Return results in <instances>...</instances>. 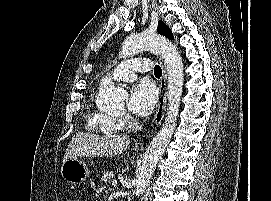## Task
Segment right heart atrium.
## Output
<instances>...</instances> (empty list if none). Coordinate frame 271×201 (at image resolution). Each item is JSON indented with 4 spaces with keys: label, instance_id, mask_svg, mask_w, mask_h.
<instances>
[{
    "label": "right heart atrium",
    "instance_id": "1",
    "mask_svg": "<svg viewBox=\"0 0 271 201\" xmlns=\"http://www.w3.org/2000/svg\"><path fill=\"white\" fill-rule=\"evenodd\" d=\"M113 120L121 127V128H131L133 126V118L128 114H123L118 117H114Z\"/></svg>",
    "mask_w": 271,
    "mask_h": 201
}]
</instances>
